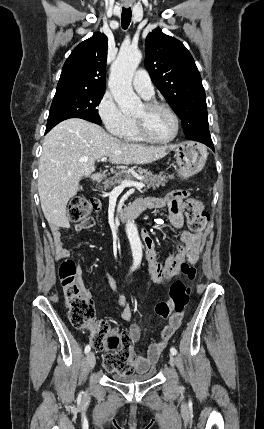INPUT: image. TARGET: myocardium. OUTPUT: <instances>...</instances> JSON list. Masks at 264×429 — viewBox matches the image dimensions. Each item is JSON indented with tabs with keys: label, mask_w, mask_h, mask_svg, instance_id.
Segmentation results:
<instances>
[{
	"label": "myocardium",
	"mask_w": 264,
	"mask_h": 429,
	"mask_svg": "<svg viewBox=\"0 0 264 429\" xmlns=\"http://www.w3.org/2000/svg\"><path fill=\"white\" fill-rule=\"evenodd\" d=\"M144 107L147 111L163 110V111L167 112L172 117V119L174 121V132L167 139H164V140L155 139L149 135L144 121L137 119V118H134L136 129H137V132H138V135L140 136V138L143 141H146V142L152 143V144H168V143L172 142L178 136L179 129H180V120H179L178 115L168 105L161 103V102L149 101V102H146L144 104Z\"/></svg>",
	"instance_id": "1"
}]
</instances>
